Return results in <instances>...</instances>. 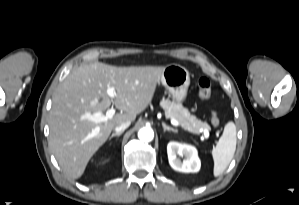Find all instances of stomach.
Here are the masks:
<instances>
[{"label":"stomach","instance_id":"0dacf381","mask_svg":"<svg viewBox=\"0 0 299 205\" xmlns=\"http://www.w3.org/2000/svg\"><path fill=\"white\" fill-rule=\"evenodd\" d=\"M160 81L177 103L185 101L190 85L189 71L185 67L179 64L164 67Z\"/></svg>","mask_w":299,"mask_h":205}]
</instances>
